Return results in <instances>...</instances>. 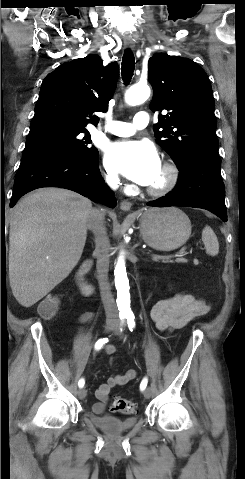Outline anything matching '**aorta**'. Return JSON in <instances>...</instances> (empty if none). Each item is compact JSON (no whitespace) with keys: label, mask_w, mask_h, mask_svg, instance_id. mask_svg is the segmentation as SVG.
I'll return each instance as SVG.
<instances>
[{"label":"aorta","mask_w":245,"mask_h":479,"mask_svg":"<svg viewBox=\"0 0 245 479\" xmlns=\"http://www.w3.org/2000/svg\"><path fill=\"white\" fill-rule=\"evenodd\" d=\"M150 96V88L147 85H134L127 90L125 101L131 106L145 102ZM115 287L117 290V305L120 314H131L129 280L127 278L124 255L120 254L115 266Z\"/></svg>","instance_id":"aorta-1"}]
</instances>
